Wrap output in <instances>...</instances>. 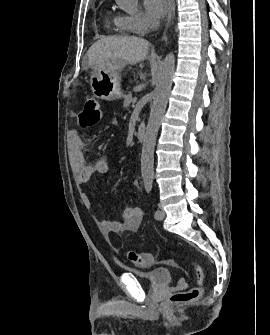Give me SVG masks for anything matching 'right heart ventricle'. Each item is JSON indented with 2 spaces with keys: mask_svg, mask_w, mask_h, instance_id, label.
Instances as JSON below:
<instances>
[{
  "mask_svg": "<svg viewBox=\"0 0 270 335\" xmlns=\"http://www.w3.org/2000/svg\"><path fill=\"white\" fill-rule=\"evenodd\" d=\"M108 28L114 29L120 32L130 31L126 17L120 13L114 14L112 17L107 16L105 19ZM157 78H168V77H157Z\"/></svg>",
  "mask_w": 270,
  "mask_h": 335,
  "instance_id": "obj_1",
  "label": "right heart ventricle"
}]
</instances>
